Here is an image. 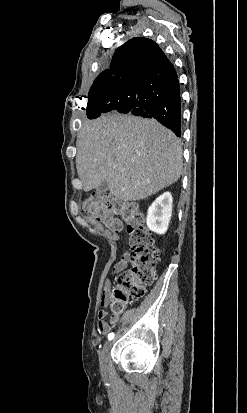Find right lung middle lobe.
Instances as JSON below:
<instances>
[{"label": "right lung middle lobe", "mask_w": 247, "mask_h": 413, "mask_svg": "<svg viewBox=\"0 0 247 413\" xmlns=\"http://www.w3.org/2000/svg\"><path fill=\"white\" fill-rule=\"evenodd\" d=\"M132 89L125 81L107 82L95 80L88 94V106L86 111L92 110L100 102L111 96H126Z\"/></svg>", "instance_id": "right-lung-middle-lobe-1"}]
</instances>
